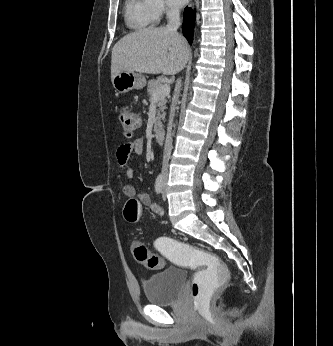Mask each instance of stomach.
I'll list each match as a JSON object with an SVG mask.
<instances>
[{"mask_svg":"<svg viewBox=\"0 0 333 346\" xmlns=\"http://www.w3.org/2000/svg\"><path fill=\"white\" fill-rule=\"evenodd\" d=\"M112 84L118 93H127L133 89H142L146 85L143 75L132 72H120L113 79Z\"/></svg>","mask_w":333,"mask_h":346,"instance_id":"obj_1","label":"stomach"}]
</instances>
